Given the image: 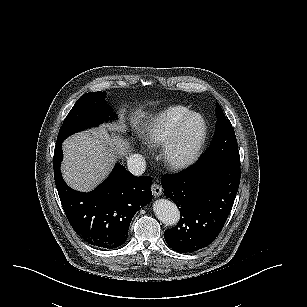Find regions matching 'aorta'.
Masks as SVG:
<instances>
[{
  "instance_id": "obj_1",
  "label": "aorta",
  "mask_w": 307,
  "mask_h": 307,
  "mask_svg": "<svg viewBox=\"0 0 307 307\" xmlns=\"http://www.w3.org/2000/svg\"><path fill=\"white\" fill-rule=\"evenodd\" d=\"M155 216L166 226L176 225L180 220V211L176 204L167 199H158L153 203Z\"/></svg>"
}]
</instances>
